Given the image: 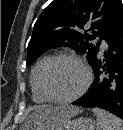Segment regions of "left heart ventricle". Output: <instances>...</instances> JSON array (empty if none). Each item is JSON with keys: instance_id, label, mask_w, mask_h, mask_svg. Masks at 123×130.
<instances>
[{"instance_id": "obj_1", "label": "left heart ventricle", "mask_w": 123, "mask_h": 130, "mask_svg": "<svg viewBox=\"0 0 123 130\" xmlns=\"http://www.w3.org/2000/svg\"><path fill=\"white\" fill-rule=\"evenodd\" d=\"M85 79V72L78 63L72 60H61L52 68L49 83L57 96L67 98L80 90Z\"/></svg>"}]
</instances>
